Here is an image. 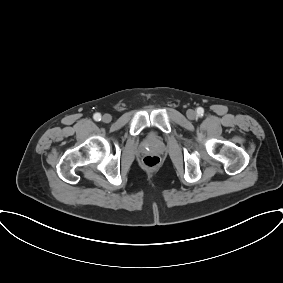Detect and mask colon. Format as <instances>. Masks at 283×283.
Returning a JSON list of instances; mask_svg holds the SVG:
<instances>
[{"mask_svg":"<svg viewBox=\"0 0 283 283\" xmlns=\"http://www.w3.org/2000/svg\"><path fill=\"white\" fill-rule=\"evenodd\" d=\"M160 158L156 155H146L143 158V164L148 168H155L159 165Z\"/></svg>","mask_w":283,"mask_h":283,"instance_id":"5ec220e1","label":"colon"}]
</instances>
